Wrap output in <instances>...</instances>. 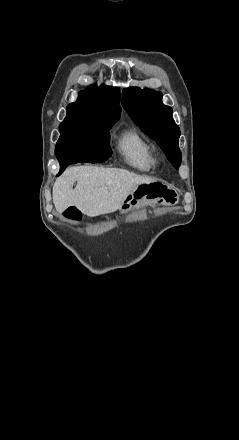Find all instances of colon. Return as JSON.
Returning <instances> with one entry per match:
<instances>
[{"instance_id":"obj_1","label":"colon","mask_w":239,"mask_h":440,"mask_svg":"<svg viewBox=\"0 0 239 440\" xmlns=\"http://www.w3.org/2000/svg\"><path fill=\"white\" fill-rule=\"evenodd\" d=\"M66 216L71 219H78V211L75 207H70L66 211Z\"/></svg>"}]
</instances>
